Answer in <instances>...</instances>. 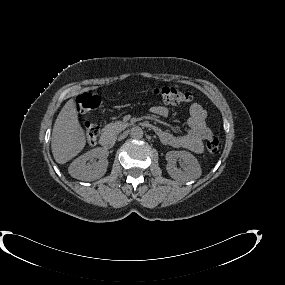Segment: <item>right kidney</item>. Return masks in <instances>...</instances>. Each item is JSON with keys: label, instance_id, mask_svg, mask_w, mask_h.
<instances>
[{"label": "right kidney", "instance_id": "obj_1", "mask_svg": "<svg viewBox=\"0 0 285 285\" xmlns=\"http://www.w3.org/2000/svg\"><path fill=\"white\" fill-rule=\"evenodd\" d=\"M96 157L99 161L90 165ZM107 166V151L104 148H95L75 159L69 166L68 172L73 178L91 181L104 176Z\"/></svg>", "mask_w": 285, "mask_h": 285}]
</instances>
